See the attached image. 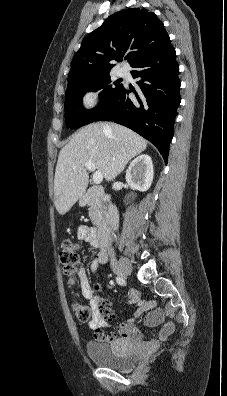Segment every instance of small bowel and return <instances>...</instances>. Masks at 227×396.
<instances>
[{
  "label": "small bowel",
  "instance_id": "c3829d8e",
  "mask_svg": "<svg viewBox=\"0 0 227 396\" xmlns=\"http://www.w3.org/2000/svg\"><path fill=\"white\" fill-rule=\"evenodd\" d=\"M95 230L88 226H81L78 229L77 236L80 240L90 243L94 247H98L94 241ZM107 261V254L101 250L95 259L90 263V271L95 273L99 265L105 264ZM78 279L81 288V293L85 299L91 300V305L94 309V314L89 322V326L94 330V337L101 342H133L144 349H154L161 342L168 339L174 332V324L167 322L163 325L159 333L155 337L145 336L134 324V319L142 313L147 312L145 323L148 326H156L163 321V311L156 308L155 302L143 301L139 298L136 292H130L128 295V304L136 305L133 317L123 321L117 328L116 332L108 335L105 329L109 326L110 321L114 317V312L109 302L103 298H97L94 294L95 290H99L100 286L91 285L87 271L82 268L78 271Z\"/></svg>",
  "mask_w": 227,
  "mask_h": 396
}]
</instances>
